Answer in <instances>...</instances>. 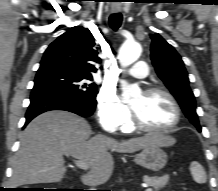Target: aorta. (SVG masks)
Masks as SVG:
<instances>
[{
  "label": "aorta",
  "mask_w": 218,
  "mask_h": 191,
  "mask_svg": "<svg viewBox=\"0 0 218 191\" xmlns=\"http://www.w3.org/2000/svg\"><path fill=\"white\" fill-rule=\"evenodd\" d=\"M142 49L137 42H125L119 49L118 59L123 68L134 63L141 55ZM141 93L137 85L122 82V99L123 102L129 103L132 97Z\"/></svg>",
  "instance_id": "1"
}]
</instances>
